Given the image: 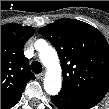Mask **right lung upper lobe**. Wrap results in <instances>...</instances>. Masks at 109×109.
<instances>
[{
    "label": "right lung upper lobe",
    "instance_id": "cb5924a9",
    "mask_svg": "<svg viewBox=\"0 0 109 109\" xmlns=\"http://www.w3.org/2000/svg\"><path fill=\"white\" fill-rule=\"evenodd\" d=\"M30 26L9 23L1 26V109L21 94L27 82L34 78L23 47L34 34Z\"/></svg>",
    "mask_w": 109,
    "mask_h": 109
}]
</instances>
